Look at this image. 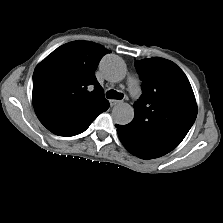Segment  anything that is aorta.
<instances>
[{
  "label": "aorta",
  "mask_w": 223,
  "mask_h": 223,
  "mask_svg": "<svg viewBox=\"0 0 223 223\" xmlns=\"http://www.w3.org/2000/svg\"><path fill=\"white\" fill-rule=\"evenodd\" d=\"M100 69L105 78L112 82H119L126 75V66L123 60L115 55L105 56ZM134 118V109L128 103H118L112 109V119L118 125L129 124Z\"/></svg>",
  "instance_id": "762f6f07"
}]
</instances>
